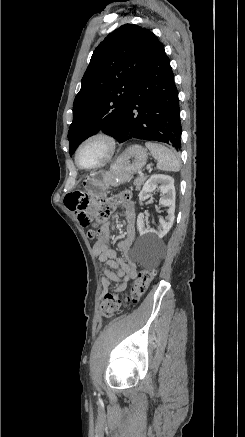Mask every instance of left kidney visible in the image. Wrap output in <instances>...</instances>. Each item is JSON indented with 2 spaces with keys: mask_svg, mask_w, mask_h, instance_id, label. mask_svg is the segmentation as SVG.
Segmentation results:
<instances>
[{
  "mask_svg": "<svg viewBox=\"0 0 245 437\" xmlns=\"http://www.w3.org/2000/svg\"><path fill=\"white\" fill-rule=\"evenodd\" d=\"M158 184H160L159 187ZM156 188H158L162 194V197L159 200V205L167 208L168 215L165 218H159V226L157 230H148L144 223L146 217L144 213H140L137 217V229L141 236L147 235L154 239H161L169 232L175 219L176 193L174 179L171 176L164 174L152 175L144 184L139 194L140 205H143V201L148 199Z\"/></svg>",
  "mask_w": 245,
  "mask_h": 437,
  "instance_id": "5707ae66",
  "label": "left kidney"
}]
</instances>
